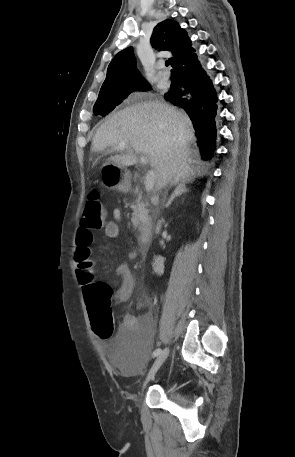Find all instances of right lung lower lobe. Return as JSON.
I'll return each mask as SVG.
<instances>
[{
  "label": "right lung lower lobe",
  "instance_id": "1",
  "mask_svg": "<svg viewBox=\"0 0 295 457\" xmlns=\"http://www.w3.org/2000/svg\"><path fill=\"white\" fill-rule=\"evenodd\" d=\"M172 67L179 76V84L172 86L164 98L188 113L196 130L202 157L211 159L216 138V91L193 48L180 56Z\"/></svg>",
  "mask_w": 295,
  "mask_h": 457
}]
</instances>
